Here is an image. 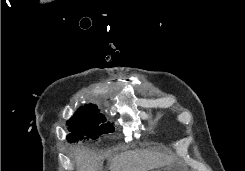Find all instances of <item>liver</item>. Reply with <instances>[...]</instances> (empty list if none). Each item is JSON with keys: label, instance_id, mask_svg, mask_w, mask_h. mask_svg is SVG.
<instances>
[{"label": "liver", "instance_id": "liver-1", "mask_svg": "<svg viewBox=\"0 0 245 171\" xmlns=\"http://www.w3.org/2000/svg\"><path fill=\"white\" fill-rule=\"evenodd\" d=\"M74 160L77 171H98L101 159L86 150L76 148ZM173 158L160 152L149 150H135L115 155L111 159L110 171H149L168 166Z\"/></svg>", "mask_w": 245, "mask_h": 171}]
</instances>
